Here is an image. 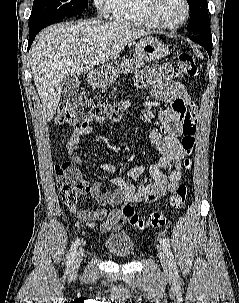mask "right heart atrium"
Returning a JSON list of instances; mask_svg holds the SVG:
<instances>
[{"label":"right heart atrium","mask_w":239,"mask_h":303,"mask_svg":"<svg viewBox=\"0 0 239 303\" xmlns=\"http://www.w3.org/2000/svg\"><path fill=\"white\" fill-rule=\"evenodd\" d=\"M94 3L100 14L107 16L112 14L115 0H94Z\"/></svg>","instance_id":"d8ad5b80"}]
</instances>
